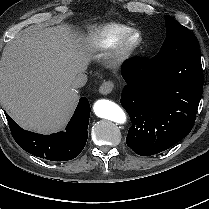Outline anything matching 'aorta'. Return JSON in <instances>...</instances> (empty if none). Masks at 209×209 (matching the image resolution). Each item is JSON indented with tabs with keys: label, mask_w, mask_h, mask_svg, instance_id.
Instances as JSON below:
<instances>
[{
	"label": "aorta",
	"mask_w": 209,
	"mask_h": 209,
	"mask_svg": "<svg viewBox=\"0 0 209 209\" xmlns=\"http://www.w3.org/2000/svg\"><path fill=\"white\" fill-rule=\"evenodd\" d=\"M93 110L96 116L119 124L126 121L124 111L114 102L101 99L94 103Z\"/></svg>",
	"instance_id": "obj_1"
}]
</instances>
